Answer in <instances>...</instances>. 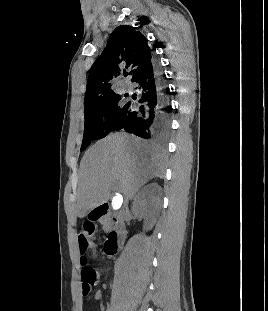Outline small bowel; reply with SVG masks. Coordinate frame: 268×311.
I'll return each instance as SVG.
<instances>
[{"instance_id":"obj_1","label":"small bowel","mask_w":268,"mask_h":311,"mask_svg":"<svg viewBox=\"0 0 268 311\" xmlns=\"http://www.w3.org/2000/svg\"><path fill=\"white\" fill-rule=\"evenodd\" d=\"M83 294L85 295L84 291H83ZM103 298V292L101 290L97 291L95 293V299L96 300H101Z\"/></svg>"}]
</instances>
